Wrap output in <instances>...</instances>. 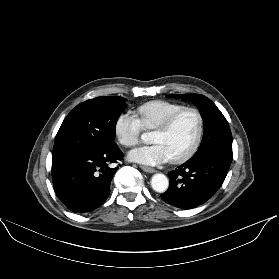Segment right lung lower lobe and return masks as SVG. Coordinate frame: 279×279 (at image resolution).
<instances>
[{
	"label": "right lung lower lobe",
	"instance_id": "1",
	"mask_svg": "<svg viewBox=\"0 0 279 279\" xmlns=\"http://www.w3.org/2000/svg\"><path fill=\"white\" fill-rule=\"evenodd\" d=\"M123 157L116 143L101 151L52 155L53 187L61 202L71 211L85 213L99 207L109 196V185Z\"/></svg>",
	"mask_w": 279,
	"mask_h": 279
}]
</instances>
